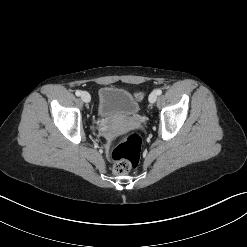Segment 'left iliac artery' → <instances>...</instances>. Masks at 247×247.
Wrapping results in <instances>:
<instances>
[{
    "mask_svg": "<svg viewBox=\"0 0 247 247\" xmlns=\"http://www.w3.org/2000/svg\"><path fill=\"white\" fill-rule=\"evenodd\" d=\"M156 93H157V95H161L162 94V90L161 89H157Z\"/></svg>",
    "mask_w": 247,
    "mask_h": 247,
    "instance_id": "1",
    "label": "left iliac artery"
}]
</instances>
